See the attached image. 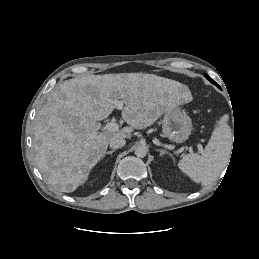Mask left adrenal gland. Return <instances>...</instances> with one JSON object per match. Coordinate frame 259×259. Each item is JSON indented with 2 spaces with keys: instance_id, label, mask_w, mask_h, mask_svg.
<instances>
[{
  "instance_id": "a2214340",
  "label": "left adrenal gland",
  "mask_w": 259,
  "mask_h": 259,
  "mask_svg": "<svg viewBox=\"0 0 259 259\" xmlns=\"http://www.w3.org/2000/svg\"><path fill=\"white\" fill-rule=\"evenodd\" d=\"M158 152H160V156H163L164 154H168V152L164 149H157Z\"/></svg>"
}]
</instances>
